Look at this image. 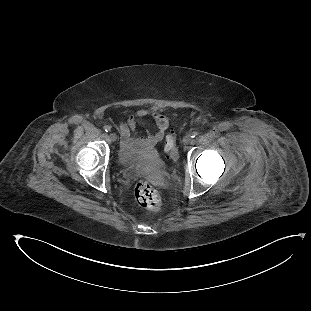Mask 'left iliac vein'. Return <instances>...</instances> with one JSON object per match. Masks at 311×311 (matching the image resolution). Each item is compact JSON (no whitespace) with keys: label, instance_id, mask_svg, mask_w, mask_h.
Segmentation results:
<instances>
[{"label":"left iliac vein","instance_id":"4c4485c4","mask_svg":"<svg viewBox=\"0 0 311 311\" xmlns=\"http://www.w3.org/2000/svg\"><path fill=\"white\" fill-rule=\"evenodd\" d=\"M191 140H192L191 135L187 134V135H185L184 138H183V143H184L185 145H188V144L191 142Z\"/></svg>","mask_w":311,"mask_h":311}]
</instances>
